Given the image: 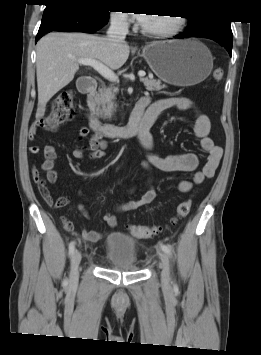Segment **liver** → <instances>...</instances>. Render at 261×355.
I'll return each mask as SVG.
<instances>
[{"label": "liver", "instance_id": "6515ba94", "mask_svg": "<svg viewBox=\"0 0 261 355\" xmlns=\"http://www.w3.org/2000/svg\"><path fill=\"white\" fill-rule=\"evenodd\" d=\"M36 74L38 86L37 117H43L47 102L68 85L79 70L77 59H96L112 70L127 61V43L113 45L107 37L85 33L53 32L37 43Z\"/></svg>", "mask_w": 261, "mask_h": 355}]
</instances>
